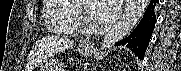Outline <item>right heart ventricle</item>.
Listing matches in <instances>:
<instances>
[{"label":"right heart ventricle","instance_id":"1","mask_svg":"<svg viewBox=\"0 0 181 71\" xmlns=\"http://www.w3.org/2000/svg\"><path fill=\"white\" fill-rule=\"evenodd\" d=\"M43 19L50 31L66 36H75L79 31V10L75 1L45 0Z\"/></svg>","mask_w":181,"mask_h":71}]
</instances>
